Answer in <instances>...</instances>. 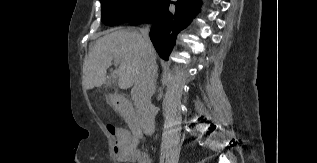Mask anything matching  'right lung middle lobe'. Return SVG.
<instances>
[{
	"mask_svg": "<svg viewBox=\"0 0 317 163\" xmlns=\"http://www.w3.org/2000/svg\"><path fill=\"white\" fill-rule=\"evenodd\" d=\"M161 0H100L102 22L109 26L135 22L149 15Z\"/></svg>",
	"mask_w": 317,
	"mask_h": 163,
	"instance_id": "right-lung-middle-lobe-1",
	"label": "right lung middle lobe"
}]
</instances>
